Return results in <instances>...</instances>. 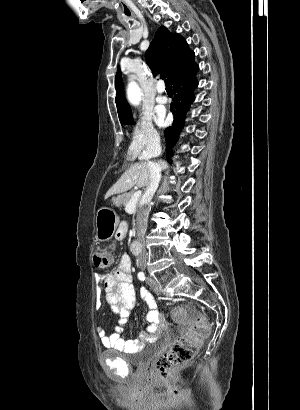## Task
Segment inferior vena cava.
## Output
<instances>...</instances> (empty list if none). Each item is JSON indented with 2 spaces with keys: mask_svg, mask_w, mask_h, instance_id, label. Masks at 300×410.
<instances>
[{
  "mask_svg": "<svg viewBox=\"0 0 300 410\" xmlns=\"http://www.w3.org/2000/svg\"><path fill=\"white\" fill-rule=\"evenodd\" d=\"M160 140L159 139H154L150 143V150L149 152L145 155V159L148 160L147 164L149 167L150 171V182L148 186L146 187L145 193L142 198L143 205L140 207L138 213H137V235L139 237L138 239V244L140 245V254L136 258V264L140 269H145L146 267V259H147V253H146V229H147V222H148V215L151 210V205L150 202L159 186V182L161 180V170L162 166L160 163H155L152 161H149L151 157L157 156L160 153Z\"/></svg>",
  "mask_w": 300,
  "mask_h": 410,
  "instance_id": "602c4592",
  "label": "inferior vena cava"
}]
</instances>
